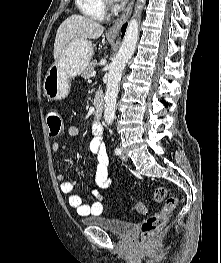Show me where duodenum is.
<instances>
[{"label":"duodenum","mask_w":221,"mask_h":263,"mask_svg":"<svg viewBox=\"0 0 221 263\" xmlns=\"http://www.w3.org/2000/svg\"><path fill=\"white\" fill-rule=\"evenodd\" d=\"M94 106H95V112L93 117V124L94 127L98 130L102 129V112L104 107V101H103V95L99 92L95 93L94 95Z\"/></svg>","instance_id":"obj_1"}]
</instances>
